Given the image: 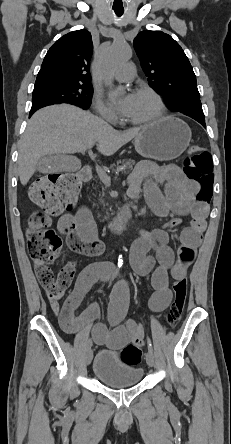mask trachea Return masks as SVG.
<instances>
[{"label":"trachea","instance_id":"trachea-1","mask_svg":"<svg viewBox=\"0 0 231 444\" xmlns=\"http://www.w3.org/2000/svg\"><path fill=\"white\" fill-rule=\"evenodd\" d=\"M114 12L118 17H120L124 13L123 10H114Z\"/></svg>","mask_w":231,"mask_h":444}]
</instances>
